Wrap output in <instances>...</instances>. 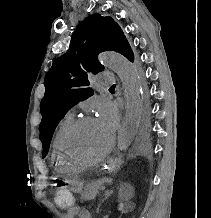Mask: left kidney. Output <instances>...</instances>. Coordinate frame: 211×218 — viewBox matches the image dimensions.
I'll return each instance as SVG.
<instances>
[{"instance_id":"1","label":"left kidney","mask_w":211,"mask_h":218,"mask_svg":"<svg viewBox=\"0 0 211 218\" xmlns=\"http://www.w3.org/2000/svg\"><path fill=\"white\" fill-rule=\"evenodd\" d=\"M116 210H122V215H133V207L131 202H118L115 206Z\"/></svg>"}]
</instances>
